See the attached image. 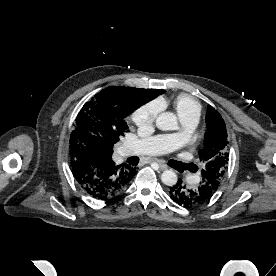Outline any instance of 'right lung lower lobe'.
Listing matches in <instances>:
<instances>
[{
  "label": "right lung lower lobe",
  "mask_w": 276,
  "mask_h": 276,
  "mask_svg": "<svg viewBox=\"0 0 276 276\" xmlns=\"http://www.w3.org/2000/svg\"><path fill=\"white\" fill-rule=\"evenodd\" d=\"M70 163L73 176L83 191L99 200L116 197L137 173L135 167L115 165L112 159H101L87 151L72 155Z\"/></svg>",
  "instance_id": "98d812e1"
}]
</instances>
